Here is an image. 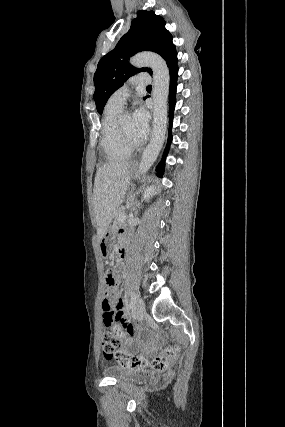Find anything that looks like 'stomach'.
<instances>
[{
	"label": "stomach",
	"mask_w": 285,
	"mask_h": 427,
	"mask_svg": "<svg viewBox=\"0 0 285 427\" xmlns=\"http://www.w3.org/2000/svg\"><path fill=\"white\" fill-rule=\"evenodd\" d=\"M130 172H135V167L130 166ZM114 234L110 231L105 232L99 242V248L103 257H108L113 246Z\"/></svg>",
	"instance_id": "0dacf381"
}]
</instances>
